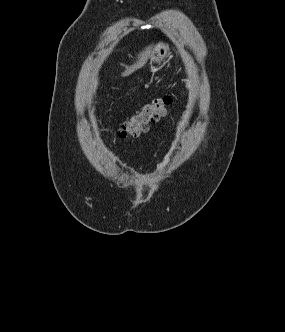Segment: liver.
Segmentation results:
<instances>
[{
    "mask_svg": "<svg viewBox=\"0 0 285 332\" xmlns=\"http://www.w3.org/2000/svg\"><path fill=\"white\" fill-rule=\"evenodd\" d=\"M152 53H153V45L146 47L142 52L139 53L138 61L134 65L126 68V70L122 73V76L123 77L128 76L131 73H133L136 69L143 66L144 63L148 60V58L152 57Z\"/></svg>",
    "mask_w": 285,
    "mask_h": 332,
    "instance_id": "6515ba94",
    "label": "liver"
}]
</instances>
